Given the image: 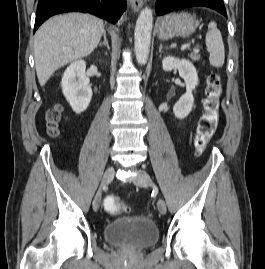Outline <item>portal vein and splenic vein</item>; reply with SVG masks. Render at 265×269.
<instances>
[{
    "label": "portal vein and splenic vein",
    "mask_w": 265,
    "mask_h": 269,
    "mask_svg": "<svg viewBox=\"0 0 265 269\" xmlns=\"http://www.w3.org/2000/svg\"><path fill=\"white\" fill-rule=\"evenodd\" d=\"M190 48V44H184L182 47H181V49L182 50H185V49H189ZM194 52H199V48H195L194 49Z\"/></svg>",
    "instance_id": "obj_1"
}]
</instances>
